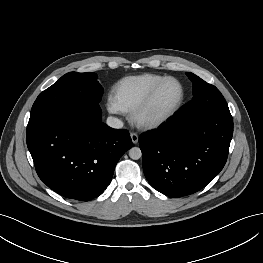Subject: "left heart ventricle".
<instances>
[{
  "label": "left heart ventricle",
  "mask_w": 263,
  "mask_h": 263,
  "mask_svg": "<svg viewBox=\"0 0 263 263\" xmlns=\"http://www.w3.org/2000/svg\"><path fill=\"white\" fill-rule=\"evenodd\" d=\"M180 97V85L174 80L165 82L156 94L145 116L152 117L170 111L178 103Z\"/></svg>",
  "instance_id": "left-heart-ventricle-1"
}]
</instances>
